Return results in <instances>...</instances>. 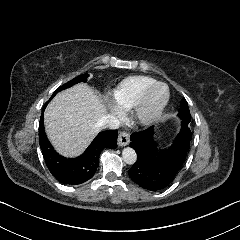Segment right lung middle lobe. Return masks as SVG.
<instances>
[{"label": "right lung middle lobe", "instance_id": "right-lung-middle-lobe-1", "mask_svg": "<svg viewBox=\"0 0 240 240\" xmlns=\"http://www.w3.org/2000/svg\"><path fill=\"white\" fill-rule=\"evenodd\" d=\"M87 77H88L87 74H82V75H80V76L72 79L71 81L67 82V83L64 84L63 86H61V87L51 96V98L47 101V103L44 105L43 108H45V107L47 106L48 102L56 95V93H57L58 91H61V90L66 89V88H69V87L73 86V85L76 84V83L86 81V80H87Z\"/></svg>", "mask_w": 240, "mask_h": 240}]
</instances>
